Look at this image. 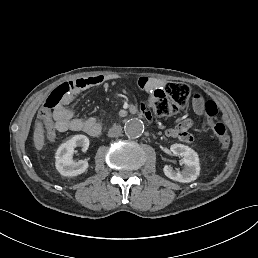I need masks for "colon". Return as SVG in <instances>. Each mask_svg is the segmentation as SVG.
Here are the masks:
<instances>
[{
  "mask_svg": "<svg viewBox=\"0 0 258 258\" xmlns=\"http://www.w3.org/2000/svg\"><path fill=\"white\" fill-rule=\"evenodd\" d=\"M75 90L73 82H64L57 86L48 96L41 116L48 118L58 107L64 105L72 96ZM190 88L180 82H168L163 87L153 90L149 95V106L157 117H167L178 112L189 100ZM218 112L216 104L205 101L202 105V116L205 120L202 129L210 128L217 136L222 149L230 145V136L226 126L221 122H213Z\"/></svg>",
  "mask_w": 258,
  "mask_h": 258,
  "instance_id": "obj_1",
  "label": "colon"
}]
</instances>
